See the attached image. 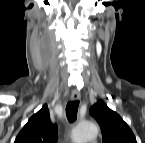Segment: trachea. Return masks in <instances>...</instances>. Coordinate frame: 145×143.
Listing matches in <instances>:
<instances>
[{"mask_svg":"<svg viewBox=\"0 0 145 143\" xmlns=\"http://www.w3.org/2000/svg\"><path fill=\"white\" fill-rule=\"evenodd\" d=\"M79 101H71L66 106V116L69 122H74L77 119Z\"/></svg>","mask_w":145,"mask_h":143,"instance_id":"trachea-1","label":"trachea"}]
</instances>
